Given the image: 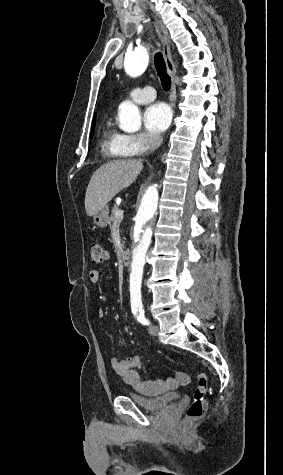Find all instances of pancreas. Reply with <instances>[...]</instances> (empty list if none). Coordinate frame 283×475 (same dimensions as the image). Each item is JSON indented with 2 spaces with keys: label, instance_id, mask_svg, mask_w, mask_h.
I'll return each mask as SVG.
<instances>
[{
  "label": "pancreas",
  "instance_id": "obj_1",
  "mask_svg": "<svg viewBox=\"0 0 283 475\" xmlns=\"http://www.w3.org/2000/svg\"><path fill=\"white\" fill-rule=\"evenodd\" d=\"M117 212H120L118 206H114L112 210V216L110 218V222H116V220H122L123 216H116Z\"/></svg>",
  "mask_w": 283,
  "mask_h": 475
}]
</instances>
